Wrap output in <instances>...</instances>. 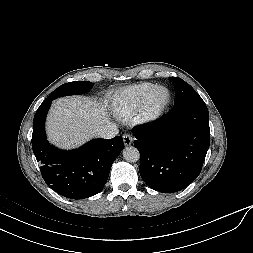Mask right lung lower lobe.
I'll use <instances>...</instances> for the list:
<instances>
[{
	"label": "right lung lower lobe",
	"mask_w": 253,
	"mask_h": 253,
	"mask_svg": "<svg viewBox=\"0 0 253 253\" xmlns=\"http://www.w3.org/2000/svg\"><path fill=\"white\" fill-rule=\"evenodd\" d=\"M52 100L47 97L42 102L33 121L32 148L41 163L42 177L52 190L64 197L83 199L96 195L124 147L123 139L121 136L94 139L72 151L51 146L46 139L45 118Z\"/></svg>",
	"instance_id": "right-lung-lower-lobe-1"
}]
</instances>
